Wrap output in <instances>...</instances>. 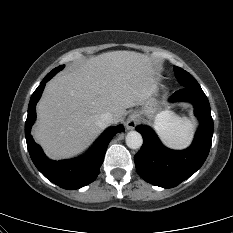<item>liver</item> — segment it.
<instances>
[{"instance_id":"1","label":"liver","mask_w":233,"mask_h":233,"mask_svg":"<svg viewBox=\"0 0 233 233\" xmlns=\"http://www.w3.org/2000/svg\"><path fill=\"white\" fill-rule=\"evenodd\" d=\"M156 63L147 55L113 51L91 57L48 82L37 105L34 139L48 157L64 159L85 150L101 131L98 118L120 121L126 109L156 93Z\"/></svg>"}]
</instances>
